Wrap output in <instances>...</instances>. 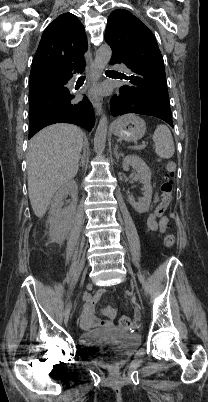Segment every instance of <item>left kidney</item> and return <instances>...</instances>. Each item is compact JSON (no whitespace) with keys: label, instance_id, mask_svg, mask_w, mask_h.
<instances>
[{"label":"left kidney","instance_id":"1","mask_svg":"<svg viewBox=\"0 0 208 402\" xmlns=\"http://www.w3.org/2000/svg\"><path fill=\"white\" fill-rule=\"evenodd\" d=\"M129 166H132L133 170H137V174L132 176L133 180H139L141 184H144L143 198H140L139 202H135L134 198L128 196L129 204L135 208L138 214H144V212H148L152 200L151 172L147 164L135 154L123 158V170H129Z\"/></svg>","mask_w":208,"mask_h":402}]
</instances>
